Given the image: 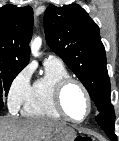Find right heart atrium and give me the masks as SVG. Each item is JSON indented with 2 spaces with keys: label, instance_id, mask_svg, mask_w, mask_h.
Wrapping results in <instances>:
<instances>
[{
  "label": "right heart atrium",
  "instance_id": "right-heart-atrium-1",
  "mask_svg": "<svg viewBox=\"0 0 119 141\" xmlns=\"http://www.w3.org/2000/svg\"><path fill=\"white\" fill-rule=\"evenodd\" d=\"M32 72V67L26 66L12 80L7 94L10 111L16 112L24 105L31 89Z\"/></svg>",
  "mask_w": 119,
  "mask_h": 141
}]
</instances>
